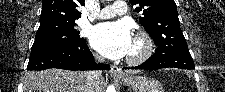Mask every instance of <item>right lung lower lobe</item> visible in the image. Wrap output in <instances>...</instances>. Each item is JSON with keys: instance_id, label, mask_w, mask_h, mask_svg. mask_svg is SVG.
Segmentation results:
<instances>
[{"instance_id": "98d812e1", "label": "right lung lower lobe", "mask_w": 225, "mask_h": 92, "mask_svg": "<svg viewBox=\"0 0 225 92\" xmlns=\"http://www.w3.org/2000/svg\"><path fill=\"white\" fill-rule=\"evenodd\" d=\"M59 68L67 70H108L107 64H96L86 42L76 45L31 51L28 70Z\"/></svg>"}]
</instances>
